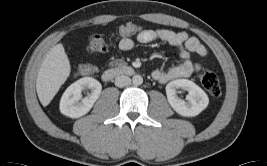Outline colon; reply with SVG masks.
Masks as SVG:
<instances>
[{"mask_svg":"<svg viewBox=\"0 0 267 166\" xmlns=\"http://www.w3.org/2000/svg\"><path fill=\"white\" fill-rule=\"evenodd\" d=\"M138 25L135 22H128L126 25H119L116 28V35L119 38H126L128 35H135L138 32ZM109 43L100 35H92L87 39V49L91 52H102L107 50ZM78 72L82 75H89L94 72V67L83 64ZM198 77L205 90L214 98L221 96L222 88L217 76L210 70L199 69Z\"/></svg>","mask_w":267,"mask_h":166,"instance_id":"1","label":"colon"}]
</instances>
